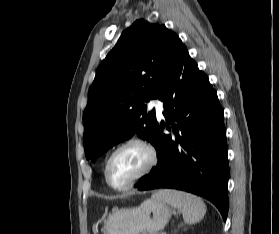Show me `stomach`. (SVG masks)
I'll list each match as a JSON object with an SVG mask.
<instances>
[{"instance_id":"1","label":"stomach","mask_w":279,"mask_h":234,"mask_svg":"<svg viewBox=\"0 0 279 234\" xmlns=\"http://www.w3.org/2000/svg\"><path fill=\"white\" fill-rule=\"evenodd\" d=\"M172 209L156 198L144 201L138 207L114 210L104 224V234H156L168 223Z\"/></svg>"}]
</instances>
